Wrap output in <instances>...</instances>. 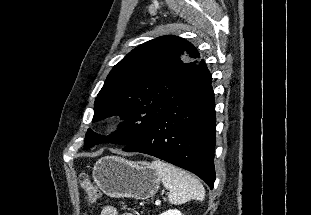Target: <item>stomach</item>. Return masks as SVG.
<instances>
[{
  "label": "stomach",
  "mask_w": 311,
  "mask_h": 215,
  "mask_svg": "<svg viewBox=\"0 0 311 215\" xmlns=\"http://www.w3.org/2000/svg\"><path fill=\"white\" fill-rule=\"evenodd\" d=\"M93 178L106 195L136 200H146L156 194L161 181L150 163L117 156L99 159L94 166Z\"/></svg>",
  "instance_id": "stomach-1"
}]
</instances>
